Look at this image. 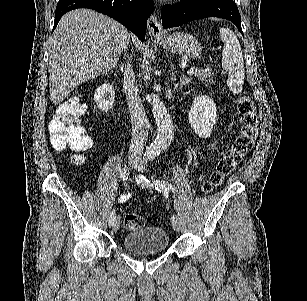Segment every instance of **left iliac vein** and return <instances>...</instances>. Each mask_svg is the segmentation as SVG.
<instances>
[{
	"instance_id": "1",
	"label": "left iliac vein",
	"mask_w": 307,
	"mask_h": 301,
	"mask_svg": "<svg viewBox=\"0 0 307 301\" xmlns=\"http://www.w3.org/2000/svg\"><path fill=\"white\" fill-rule=\"evenodd\" d=\"M138 171L143 172L145 171V167L140 165L138 166ZM171 224L175 231H179L180 228V217L177 214L172 215L171 217Z\"/></svg>"
}]
</instances>
